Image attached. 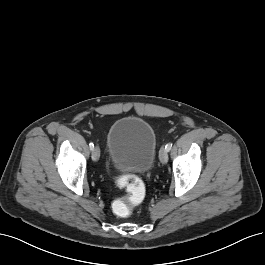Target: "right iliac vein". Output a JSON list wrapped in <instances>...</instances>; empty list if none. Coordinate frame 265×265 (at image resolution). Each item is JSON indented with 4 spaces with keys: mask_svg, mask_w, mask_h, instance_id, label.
<instances>
[{
    "mask_svg": "<svg viewBox=\"0 0 265 265\" xmlns=\"http://www.w3.org/2000/svg\"><path fill=\"white\" fill-rule=\"evenodd\" d=\"M100 157V149L98 146H96L93 150H92V160L93 161H98Z\"/></svg>",
    "mask_w": 265,
    "mask_h": 265,
    "instance_id": "obj_1",
    "label": "right iliac vein"
}]
</instances>
